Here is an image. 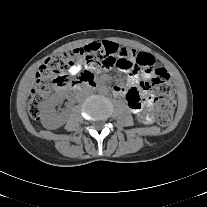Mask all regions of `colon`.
<instances>
[{"mask_svg": "<svg viewBox=\"0 0 207 207\" xmlns=\"http://www.w3.org/2000/svg\"><path fill=\"white\" fill-rule=\"evenodd\" d=\"M75 63L91 67H116L122 70H153L154 76L148 81L147 88L155 94L157 122L161 126H167L171 122L175 108V90L167 70L156 67V61L150 53L121 48L110 41L91 43L71 51L56 53L48 58L40 67L28 98V112L31 118L39 119L41 108L51 95L53 87L92 81L93 76L89 72L76 79H69L64 74Z\"/></svg>", "mask_w": 207, "mask_h": 207, "instance_id": "colon-1", "label": "colon"}]
</instances>
